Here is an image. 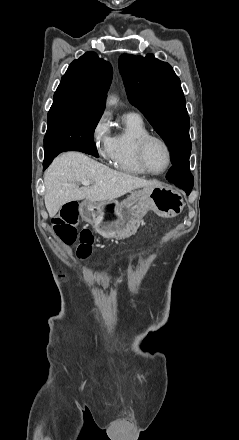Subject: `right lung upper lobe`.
I'll return each instance as SVG.
<instances>
[{
  "label": "right lung upper lobe",
  "mask_w": 239,
  "mask_h": 440,
  "mask_svg": "<svg viewBox=\"0 0 239 440\" xmlns=\"http://www.w3.org/2000/svg\"><path fill=\"white\" fill-rule=\"evenodd\" d=\"M112 77L111 64L99 58L95 52H87L68 67L51 107L102 114Z\"/></svg>",
  "instance_id": "cb5924a9"
}]
</instances>
